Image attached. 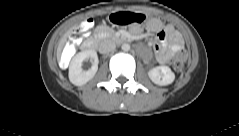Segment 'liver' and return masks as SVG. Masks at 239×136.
I'll return each instance as SVG.
<instances>
[{
	"label": "liver",
	"instance_id": "liver-1",
	"mask_svg": "<svg viewBox=\"0 0 239 136\" xmlns=\"http://www.w3.org/2000/svg\"><path fill=\"white\" fill-rule=\"evenodd\" d=\"M70 34H71V30L67 31V32L62 36V38L60 39L59 47H58V54H60V51H61L63 45L65 44V42L67 41V38L69 37Z\"/></svg>",
	"mask_w": 239,
	"mask_h": 136
}]
</instances>
